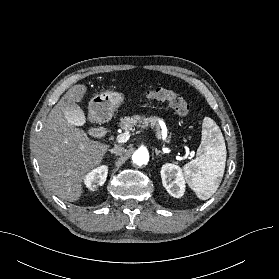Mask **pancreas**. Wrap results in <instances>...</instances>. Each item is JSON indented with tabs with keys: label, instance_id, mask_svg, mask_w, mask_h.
<instances>
[{
	"label": "pancreas",
	"instance_id": "1",
	"mask_svg": "<svg viewBox=\"0 0 279 279\" xmlns=\"http://www.w3.org/2000/svg\"><path fill=\"white\" fill-rule=\"evenodd\" d=\"M119 126L121 129L125 131H134L135 127L153 128L156 133L160 134V125L158 123V119L155 116L146 117L144 115H134L133 117H123L120 119Z\"/></svg>",
	"mask_w": 279,
	"mask_h": 279
}]
</instances>
